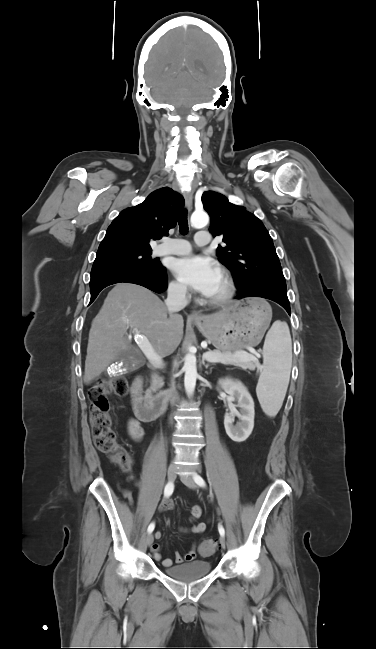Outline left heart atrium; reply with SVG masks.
<instances>
[{
    "label": "left heart atrium",
    "instance_id": "1",
    "mask_svg": "<svg viewBox=\"0 0 376 649\" xmlns=\"http://www.w3.org/2000/svg\"><path fill=\"white\" fill-rule=\"evenodd\" d=\"M172 270L181 283L206 296L212 292L220 277L217 263L201 256L179 258L173 263Z\"/></svg>",
    "mask_w": 376,
    "mask_h": 649
}]
</instances>
